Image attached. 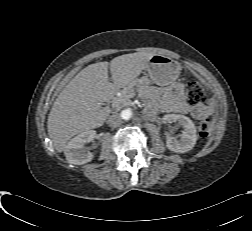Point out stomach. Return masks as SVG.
Wrapping results in <instances>:
<instances>
[{"instance_id": "stomach-1", "label": "stomach", "mask_w": 252, "mask_h": 231, "mask_svg": "<svg viewBox=\"0 0 252 231\" xmlns=\"http://www.w3.org/2000/svg\"><path fill=\"white\" fill-rule=\"evenodd\" d=\"M146 70L148 71L149 79L144 78L142 83H139V88H141L142 84L150 81L162 87L173 88L176 86L179 68L169 57L154 54L150 58Z\"/></svg>"}]
</instances>
